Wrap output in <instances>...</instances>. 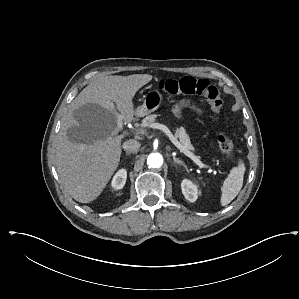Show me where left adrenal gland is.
<instances>
[{"label": "left adrenal gland", "mask_w": 299, "mask_h": 299, "mask_svg": "<svg viewBox=\"0 0 299 299\" xmlns=\"http://www.w3.org/2000/svg\"><path fill=\"white\" fill-rule=\"evenodd\" d=\"M173 161H174V164H179V165H182L184 168H186V165L184 164L183 161L179 160L178 158H176L175 156H173Z\"/></svg>", "instance_id": "1"}]
</instances>
